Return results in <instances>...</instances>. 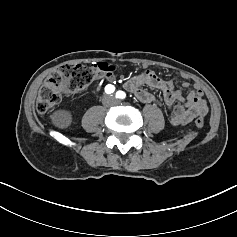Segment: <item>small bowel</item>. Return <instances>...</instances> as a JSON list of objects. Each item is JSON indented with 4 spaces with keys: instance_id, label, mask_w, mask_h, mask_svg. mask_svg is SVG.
Masks as SVG:
<instances>
[{
    "instance_id": "c3829d8e",
    "label": "small bowel",
    "mask_w": 237,
    "mask_h": 237,
    "mask_svg": "<svg viewBox=\"0 0 237 237\" xmlns=\"http://www.w3.org/2000/svg\"><path fill=\"white\" fill-rule=\"evenodd\" d=\"M113 79L112 77H98V79ZM149 86L159 91L164 100V107L170 112V122L173 125H185L190 123L195 117H204L208 112V107L200 87L196 84L183 82V88L192 89L186 96L179 90L174 89L173 81L163 80L151 70H145L142 73L128 79L124 83L126 90L131 92L142 102L150 103L156 101L153 92L144 88Z\"/></svg>"
}]
</instances>
